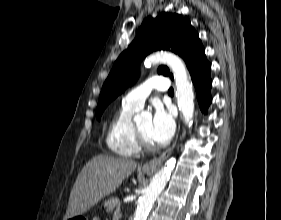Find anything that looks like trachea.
I'll use <instances>...</instances> for the list:
<instances>
[{
  "mask_svg": "<svg viewBox=\"0 0 281 220\" xmlns=\"http://www.w3.org/2000/svg\"><path fill=\"white\" fill-rule=\"evenodd\" d=\"M169 94H174V89L171 87L168 91Z\"/></svg>",
  "mask_w": 281,
  "mask_h": 220,
  "instance_id": "trachea-1",
  "label": "trachea"
}]
</instances>
